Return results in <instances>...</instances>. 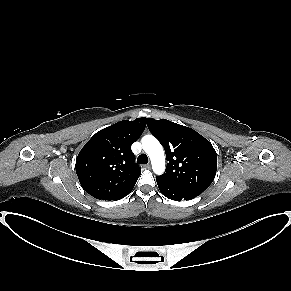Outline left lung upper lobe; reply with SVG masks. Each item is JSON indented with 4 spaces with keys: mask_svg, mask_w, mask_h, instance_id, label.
I'll return each instance as SVG.
<instances>
[{
    "mask_svg": "<svg viewBox=\"0 0 291 291\" xmlns=\"http://www.w3.org/2000/svg\"><path fill=\"white\" fill-rule=\"evenodd\" d=\"M151 133L163 144L167 167L159 176L175 186L202 193L213 182L217 155L211 143L195 130L166 119L147 118Z\"/></svg>",
    "mask_w": 291,
    "mask_h": 291,
    "instance_id": "left-lung-upper-lobe-1",
    "label": "left lung upper lobe"
}]
</instances>
